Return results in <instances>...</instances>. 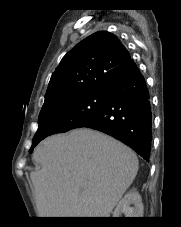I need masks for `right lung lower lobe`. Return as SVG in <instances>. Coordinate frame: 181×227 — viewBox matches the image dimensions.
Here are the masks:
<instances>
[{
    "mask_svg": "<svg viewBox=\"0 0 181 227\" xmlns=\"http://www.w3.org/2000/svg\"><path fill=\"white\" fill-rule=\"evenodd\" d=\"M108 89L104 107L82 127L113 136L149 161L152 112L144 77L133 64L128 73L111 83Z\"/></svg>",
    "mask_w": 181,
    "mask_h": 227,
    "instance_id": "1",
    "label": "right lung lower lobe"
}]
</instances>
